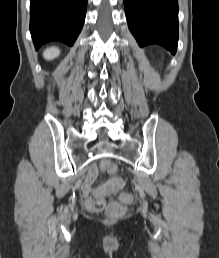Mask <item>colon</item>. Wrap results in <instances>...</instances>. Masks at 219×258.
I'll return each mask as SVG.
<instances>
[{
    "instance_id": "obj_1",
    "label": "colon",
    "mask_w": 219,
    "mask_h": 258,
    "mask_svg": "<svg viewBox=\"0 0 219 258\" xmlns=\"http://www.w3.org/2000/svg\"><path fill=\"white\" fill-rule=\"evenodd\" d=\"M100 167L103 172H107L110 174H113L117 171V165L110 160H103ZM133 199H134V196L129 192H123L121 194L122 202L128 203L133 201ZM86 207L89 210L94 212H98L103 210L104 208H107L108 213L110 214L111 217H118L123 212V206L119 202L106 203L104 200L88 199L86 201Z\"/></svg>"
}]
</instances>
